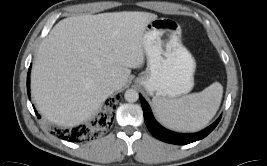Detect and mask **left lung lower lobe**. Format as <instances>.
I'll return each mask as SVG.
<instances>
[{
	"label": "left lung lower lobe",
	"mask_w": 267,
	"mask_h": 166,
	"mask_svg": "<svg viewBox=\"0 0 267 166\" xmlns=\"http://www.w3.org/2000/svg\"><path fill=\"white\" fill-rule=\"evenodd\" d=\"M142 109H143V114H144V121L146 123L147 128L149 131L159 140L167 142V143H172L176 145H186L195 141H198L204 137H206L213 129L217 126L219 123L221 116L209 127L206 129L193 133V134H180V133H175L172 131H169L165 128H163L161 125L157 123V121L154 119L151 109L147 102L144 100V98L139 95Z\"/></svg>",
	"instance_id": "obj_1"
}]
</instances>
